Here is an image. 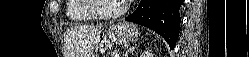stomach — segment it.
<instances>
[{
  "instance_id": "0dacf381",
  "label": "stomach",
  "mask_w": 249,
  "mask_h": 57,
  "mask_svg": "<svg viewBox=\"0 0 249 57\" xmlns=\"http://www.w3.org/2000/svg\"><path fill=\"white\" fill-rule=\"evenodd\" d=\"M138 36L137 27L128 22H118L109 27L107 31V37L120 45L128 44ZM92 57H98V55H92Z\"/></svg>"
}]
</instances>
